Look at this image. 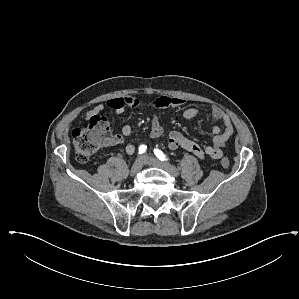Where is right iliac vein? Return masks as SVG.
<instances>
[{
    "label": "right iliac vein",
    "instance_id": "right-iliac-vein-1",
    "mask_svg": "<svg viewBox=\"0 0 299 299\" xmlns=\"http://www.w3.org/2000/svg\"><path fill=\"white\" fill-rule=\"evenodd\" d=\"M144 163H145L144 158L138 157L131 167L130 170L131 175H136L143 168Z\"/></svg>",
    "mask_w": 299,
    "mask_h": 299
}]
</instances>
